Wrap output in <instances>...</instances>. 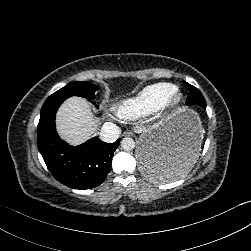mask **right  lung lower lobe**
<instances>
[{
  "instance_id": "obj_1",
  "label": "right lung lower lobe",
  "mask_w": 251,
  "mask_h": 251,
  "mask_svg": "<svg viewBox=\"0 0 251 251\" xmlns=\"http://www.w3.org/2000/svg\"><path fill=\"white\" fill-rule=\"evenodd\" d=\"M64 100L48 97L44 102L37 127L38 149L51 174L62 184L80 190L97 187L111 169L120 139L108 144L94 137L82 145L69 146L55 128L56 111Z\"/></svg>"
}]
</instances>
